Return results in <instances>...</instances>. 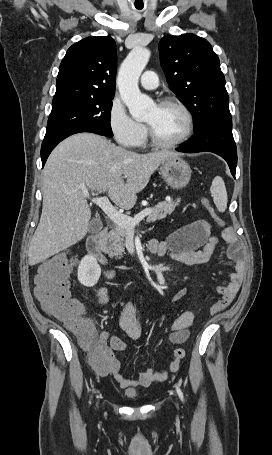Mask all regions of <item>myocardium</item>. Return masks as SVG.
<instances>
[{
  "instance_id": "1",
  "label": "myocardium",
  "mask_w": 272,
  "mask_h": 455,
  "mask_svg": "<svg viewBox=\"0 0 272 455\" xmlns=\"http://www.w3.org/2000/svg\"><path fill=\"white\" fill-rule=\"evenodd\" d=\"M169 105L176 106L177 108H179L182 111V113L185 116V120H186V128H185L183 135L179 139H177L173 142H163L156 137L151 126L148 123H146L147 135H148L150 143L154 147H157L160 149H173V148L179 147L180 145L185 143L191 137V135L193 134V131H194V118H193V115H192L190 109L183 102H181L180 100H178L176 98H172V97L163 98L157 103L158 107L169 106Z\"/></svg>"
}]
</instances>
